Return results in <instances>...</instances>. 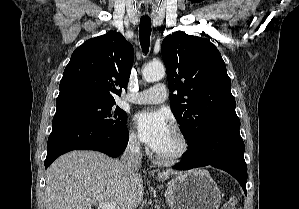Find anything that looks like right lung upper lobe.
<instances>
[{"label":"right lung upper lobe","instance_id":"obj_1","mask_svg":"<svg viewBox=\"0 0 299 209\" xmlns=\"http://www.w3.org/2000/svg\"><path fill=\"white\" fill-rule=\"evenodd\" d=\"M134 59L132 45L115 31L89 39L71 55L56 104L115 102L126 88ZM120 88V89H119Z\"/></svg>","mask_w":299,"mask_h":209}]
</instances>
